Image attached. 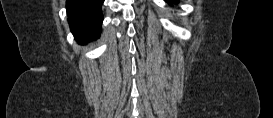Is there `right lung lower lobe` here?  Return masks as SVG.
<instances>
[{"label": "right lung lower lobe", "mask_w": 273, "mask_h": 118, "mask_svg": "<svg viewBox=\"0 0 273 118\" xmlns=\"http://www.w3.org/2000/svg\"><path fill=\"white\" fill-rule=\"evenodd\" d=\"M104 0H67L66 9L71 32L79 44L98 39L103 21Z\"/></svg>", "instance_id": "obj_1"}]
</instances>
